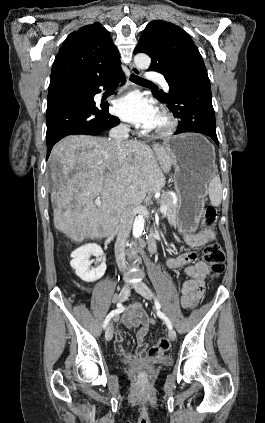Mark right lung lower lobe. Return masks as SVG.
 I'll return each instance as SVG.
<instances>
[{
  "instance_id": "obj_1",
  "label": "right lung lower lobe",
  "mask_w": 265,
  "mask_h": 423,
  "mask_svg": "<svg viewBox=\"0 0 265 423\" xmlns=\"http://www.w3.org/2000/svg\"><path fill=\"white\" fill-rule=\"evenodd\" d=\"M125 81L121 71L103 81L69 85L48 91L46 111L47 158L52 147L68 135H98L120 123L108 113V104L96 105L93 97L112 82Z\"/></svg>"
}]
</instances>
